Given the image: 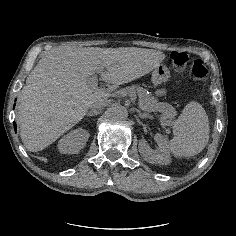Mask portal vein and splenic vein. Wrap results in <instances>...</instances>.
Instances as JSON below:
<instances>
[{"mask_svg": "<svg viewBox=\"0 0 236 236\" xmlns=\"http://www.w3.org/2000/svg\"><path fill=\"white\" fill-rule=\"evenodd\" d=\"M88 83L91 86H96L98 83V73L93 74L92 76H90Z\"/></svg>", "mask_w": 236, "mask_h": 236, "instance_id": "obj_1", "label": "portal vein and splenic vein"}]
</instances>
